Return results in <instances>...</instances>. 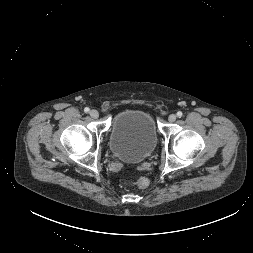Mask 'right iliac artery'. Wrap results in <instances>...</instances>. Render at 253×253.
Listing matches in <instances>:
<instances>
[{
  "label": "right iliac artery",
  "instance_id": "1",
  "mask_svg": "<svg viewBox=\"0 0 253 253\" xmlns=\"http://www.w3.org/2000/svg\"><path fill=\"white\" fill-rule=\"evenodd\" d=\"M89 110H90V109H89L88 107L84 108V112H86V113H88Z\"/></svg>",
  "mask_w": 253,
  "mask_h": 253
}]
</instances>
